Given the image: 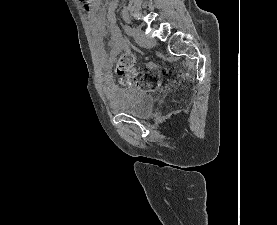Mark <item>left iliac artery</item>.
<instances>
[{
	"instance_id": "obj_1",
	"label": "left iliac artery",
	"mask_w": 277,
	"mask_h": 225,
	"mask_svg": "<svg viewBox=\"0 0 277 225\" xmlns=\"http://www.w3.org/2000/svg\"><path fill=\"white\" fill-rule=\"evenodd\" d=\"M124 30H125V32H126L127 35H129V36H132V35H133V29H132L131 26L125 25V26H124Z\"/></svg>"
}]
</instances>
